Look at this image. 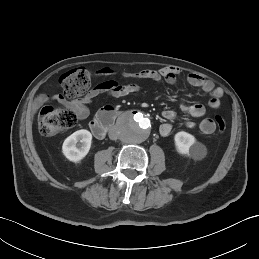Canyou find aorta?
<instances>
[{
    "instance_id": "762f6f07",
    "label": "aorta",
    "mask_w": 259,
    "mask_h": 259,
    "mask_svg": "<svg viewBox=\"0 0 259 259\" xmlns=\"http://www.w3.org/2000/svg\"><path fill=\"white\" fill-rule=\"evenodd\" d=\"M118 131L123 142L139 144L144 142L150 135V120L142 113H127L118 122Z\"/></svg>"
}]
</instances>
